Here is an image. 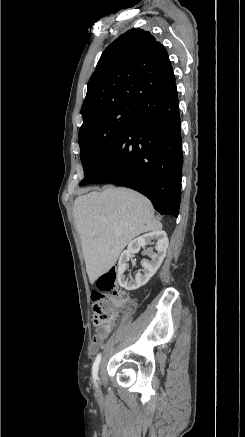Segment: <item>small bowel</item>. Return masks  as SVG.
Here are the masks:
<instances>
[{
  "instance_id": "1",
  "label": "small bowel",
  "mask_w": 245,
  "mask_h": 437,
  "mask_svg": "<svg viewBox=\"0 0 245 437\" xmlns=\"http://www.w3.org/2000/svg\"><path fill=\"white\" fill-rule=\"evenodd\" d=\"M106 336L107 335L103 337L94 336L92 343L93 347H99L103 343V340L106 338Z\"/></svg>"
}]
</instances>
